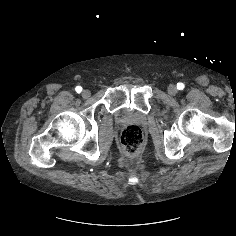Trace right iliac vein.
Returning <instances> with one entry per match:
<instances>
[{"label":"right iliac vein","mask_w":236,"mask_h":236,"mask_svg":"<svg viewBox=\"0 0 236 236\" xmlns=\"http://www.w3.org/2000/svg\"><path fill=\"white\" fill-rule=\"evenodd\" d=\"M90 95H91V92L89 90H83V92H82L83 98H88V97H90Z\"/></svg>","instance_id":"63e3f726"}]
</instances>
